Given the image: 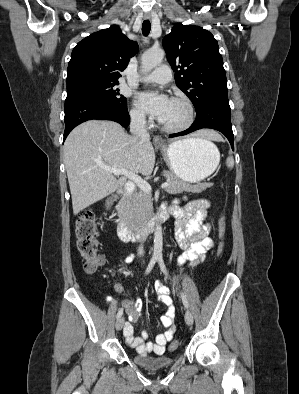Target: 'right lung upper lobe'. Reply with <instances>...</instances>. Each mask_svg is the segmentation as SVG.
<instances>
[{
	"mask_svg": "<svg viewBox=\"0 0 299 394\" xmlns=\"http://www.w3.org/2000/svg\"><path fill=\"white\" fill-rule=\"evenodd\" d=\"M138 44L113 25L80 41L67 69V88L92 82H118Z\"/></svg>",
	"mask_w": 299,
	"mask_h": 394,
	"instance_id": "right-lung-upper-lobe-1",
	"label": "right lung upper lobe"
}]
</instances>
